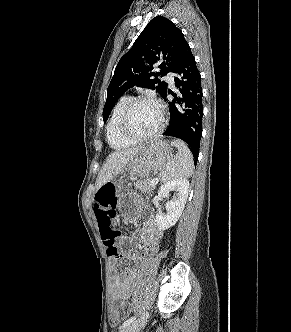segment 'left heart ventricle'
<instances>
[{"label": "left heart ventricle", "instance_id": "obj_1", "mask_svg": "<svg viewBox=\"0 0 291 332\" xmlns=\"http://www.w3.org/2000/svg\"><path fill=\"white\" fill-rule=\"evenodd\" d=\"M160 125L159 108L152 102H141L133 109L129 129L132 133L145 136L155 132Z\"/></svg>", "mask_w": 291, "mask_h": 332}]
</instances>
